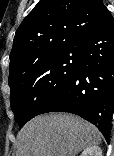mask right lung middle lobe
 I'll return each instance as SVG.
<instances>
[{"instance_id": "dd1d6c3e", "label": "right lung middle lobe", "mask_w": 114, "mask_h": 156, "mask_svg": "<svg viewBox=\"0 0 114 156\" xmlns=\"http://www.w3.org/2000/svg\"><path fill=\"white\" fill-rule=\"evenodd\" d=\"M81 58L79 47H73L40 61L9 84L11 108L20 127L60 95L75 75Z\"/></svg>"}]
</instances>
